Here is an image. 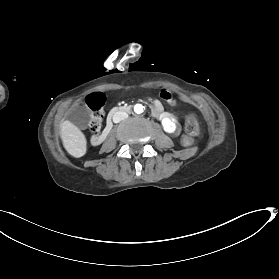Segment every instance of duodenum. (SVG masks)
Returning <instances> with one entry per match:
<instances>
[{"label": "duodenum", "mask_w": 279, "mask_h": 279, "mask_svg": "<svg viewBox=\"0 0 279 279\" xmlns=\"http://www.w3.org/2000/svg\"><path fill=\"white\" fill-rule=\"evenodd\" d=\"M118 111L130 112V107L126 105H120V108L119 106H114L111 112H108L107 127H104L102 136L98 139V133H93L92 135V141L94 145H101L102 143H104V138H107L108 132H110V128H112V121L114 119V115H116Z\"/></svg>", "instance_id": "duodenum-1"}]
</instances>
